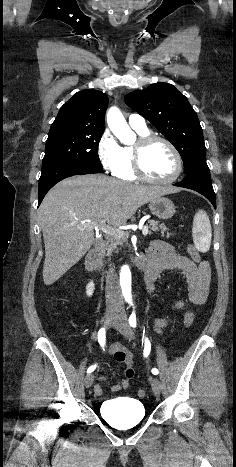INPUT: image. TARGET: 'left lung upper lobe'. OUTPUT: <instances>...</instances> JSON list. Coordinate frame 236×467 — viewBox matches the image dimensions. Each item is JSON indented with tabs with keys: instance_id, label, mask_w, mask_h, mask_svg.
Masks as SVG:
<instances>
[{
	"instance_id": "5c2ea615",
	"label": "left lung upper lobe",
	"mask_w": 236,
	"mask_h": 467,
	"mask_svg": "<svg viewBox=\"0 0 236 467\" xmlns=\"http://www.w3.org/2000/svg\"><path fill=\"white\" fill-rule=\"evenodd\" d=\"M125 103L150 121L177 149L184 173L207 166L205 143L196 112L173 85L156 83L125 96Z\"/></svg>"
}]
</instances>
